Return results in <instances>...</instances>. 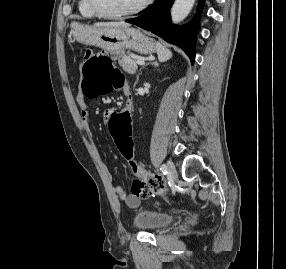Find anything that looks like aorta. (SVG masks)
<instances>
[{"label":"aorta","mask_w":286,"mask_h":269,"mask_svg":"<svg viewBox=\"0 0 286 269\" xmlns=\"http://www.w3.org/2000/svg\"><path fill=\"white\" fill-rule=\"evenodd\" d=\"M195 0H175L171 9V19L175 24L183 21L190 13Z\"/></svg>","instance_id":"1"}]
</instances>
